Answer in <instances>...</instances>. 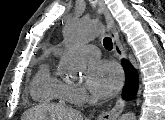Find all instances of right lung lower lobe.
Listing matches in <instances>:
<instances>
[{
  "instance_id": "98d812e1",
  "label": "right lung lower lobe",
  "mask_w": 165,
  "mask_h": 120,
  "mask_svg": "<svg viewBox=\"0 0 165 120\" xmlns=\"http://www.w3.org/2000/svg\"><path fill=\"white\" fill-rule=\"evenodd\" d=\"M122 65L125 70V86L123 88L122 97L123 99H132L137 90L139 85L138 74L135 68L126 60H122Z\"/></svg>"
}]
</instances>
